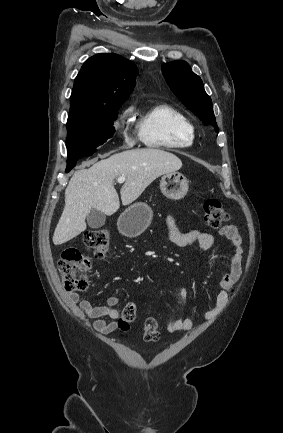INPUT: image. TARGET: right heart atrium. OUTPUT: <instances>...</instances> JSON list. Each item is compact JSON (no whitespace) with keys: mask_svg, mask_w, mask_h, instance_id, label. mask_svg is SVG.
Instances as JSON below:
<instances>
[{"mask_svg":"<svg viewBox=\"0 0 283 433\" xmlns=\"http://www.w3.org/2000/svg\"><path fill=\"white\" fill-rule=\"evenodd\" d=\"M131 112V108H126L120 115H118L113 123L112 130L114 135L119 140V149H128L135 145L137 136L135 132L127 125L126 119Z\"/></svg>","mask_w":283,"mask_h":433,"instance_id":"obj_1","label":"right heart atrium"}]
</instances>
